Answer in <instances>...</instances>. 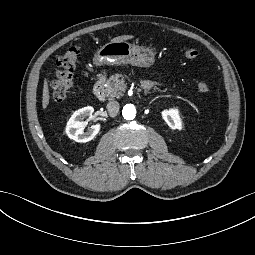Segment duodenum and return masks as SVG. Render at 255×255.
<instances>
[{
	"label": "duodenum",
	"instance_id": "duodenum-1",
	"mask_svg": "<svg viewBox=\"0 0 255 255\" xmlns=\"http://www.w3.org/2000/svg\"><path fill=\"white\" fill-rule=\"evenodd\" d=\"M105 81L106 74L104 72L99 73L93 87V94L99 100H103L105 98Z\"/></svg>",
	"mask_w": 255,
	"mask_h": 255
}]
</instances>
